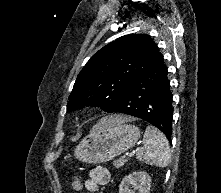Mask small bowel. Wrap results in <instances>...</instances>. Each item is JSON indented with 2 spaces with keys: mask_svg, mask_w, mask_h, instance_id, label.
<instances>
[{
  "mask_svg": "<svg viewBox=\"0 0 221 193\" xmlns=\"http://www.w3.org/2000/svg\"><path fill=\"white\" fill-rule=\"evenodd\" d=\"M110 179L111 175L108 169L95 167L90 171L89 177L84 182V186L90 192H97L101 186L108 184Z\"/></svg>",
  "mask_w": 221,
  "mask_h": 193,
  "instance_id": "c3829d8e",
  "label": "small bowel"
}]
</instances>
